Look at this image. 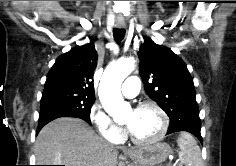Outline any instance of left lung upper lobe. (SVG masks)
I'll return each mask as SVG.
<instances>
[{"label":"left lung upper lobe","instance_id":"obj_1","mask_svg":"<svg viewBox=\"0 0 236 166\" xmlns=\"http://www.w3.org/2000/svg\"><path fill=\"white\" fill-rule=\"evenodd\" d=\"M138 56L145 91L166 112L170 122L198 108L187 66L171 49L144 37Z\"/></svg>","mask_w":236,"mask_h":166}]
</instances>
